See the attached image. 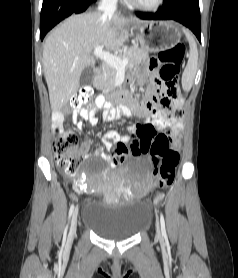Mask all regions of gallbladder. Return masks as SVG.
<instances>
[{"label": "gallbladder", "mask_w": 238, "mask_h": 278, "mask_svg": "<svg viewBox=\"0 0 238 278\" xmlns=\"http://www.w3.org/2000/svg\"><path fill=\"white\" fill-rule=\"evenodd\" d=\"M93 81V68L91 66L85 67L80 76V85L85 86Z\"/></svg>", "instance_id": "1"}]
</instances>
